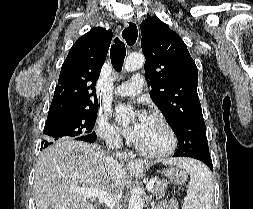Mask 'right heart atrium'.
Returning <instances> with one entry per match:
<instances>
[{
    "label": "right heart atrium",
    "mask_w": 253,
    "mask_h": 209,
    "mask_svg": "<svg viewBox=\"0 0 253 209\" xmlns=\"http://www.w3.org/2000/svg\"><path fill=\"white\" fill-rule=\"evenodd\" d=\"M97 134L109 144H116L120 141L117 129L108 121L104 114H100L97 119Z\"/></svg>",
    "instance_id": "d8ad5b80"
}]
</instances>
